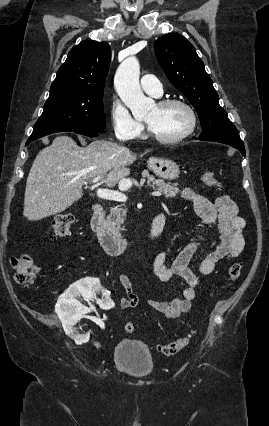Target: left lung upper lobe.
<instances>
[{"mask_svg": "<svg viewBox=\"0 0 269 426\" xmlns=\"http://www.w3.org/2000/svg\"><path fill=\"white\" fill-rule=\"evenodd\" d=\"M158 63L169 81L193 105L200 118L205 138L237 132L226 112L219 105L218 94L204 63L193 45L175 33L164 35L154 43Z\"/></svg>", "mask_w": 269, "mask_h": 426, "instance_id": "left-lung-upper-lobe-1", "label": "left lung upper lobe"}]
</instances>
